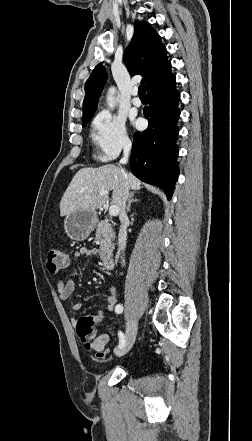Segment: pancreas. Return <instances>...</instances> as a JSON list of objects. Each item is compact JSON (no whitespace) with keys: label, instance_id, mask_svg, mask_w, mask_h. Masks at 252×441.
<instances>
[{"label":"pancreas","instance_id":"pancreas-1","mask_svg":"<svg viewBox=\"0 0 252 441\" xmlns=\"http://www.w3.org/2000/svg\"><path fill=\"white\" fill-rule=\"evenodd\" d=\"M95 239L99 243V256L102 261L107 260L111 256L115 239V232L112 229L108 220H103L98 223Z\"/></svg>","mask_w":252,"mask_h":441}]
</instances>
